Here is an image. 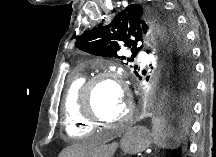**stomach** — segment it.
Instances as JSON below:
<instances>
[{
  "instance_id": "0dacf381",
  "label": "stomach",
  "mask_w": 216,
  "mask_h": 157,
  "mask_svg": "<svg viewBox=\"0 0 216 157\" xmlns=\"http://www.w3.org/2000/svg\"><path fill=\"white\" fill-rule=\"evenodd\" d=\"M152 143V135L148 129L135 126L128 129L122 139V147L129 154L145 151Z\"/></svg>"
}]
</instances>
